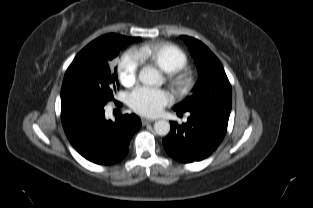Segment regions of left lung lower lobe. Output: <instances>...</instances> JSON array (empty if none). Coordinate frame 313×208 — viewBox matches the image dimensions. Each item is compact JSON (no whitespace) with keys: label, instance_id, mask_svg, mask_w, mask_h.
<instances>
[{"label":"left lung lower lobe","instance_id":"left-lung-lower-lobe-1","mask_svg":"<svg viewBox=\"0 0 313 208\" xmlns=\"http://www.w3.org/2000/svg\"><path fill=\"white\" fill-rule=\"evenodd\" d=\"M189 113L187 122L182 125L170 122L171 131L163 139L168 155L183 163L201 161L216 150L226 134L230 115L229 111L212 108Z\"/></svg>","mask_w":313,"mask_h":208}]
</instances>
